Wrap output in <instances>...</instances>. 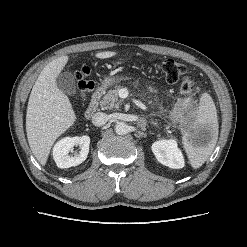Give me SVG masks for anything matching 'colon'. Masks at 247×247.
<instances>
[{
	"mask_svg": "<svg viewBox=\"0 0 247 247\" xmlns=\"http://www.w3.org/2000/svg\"><path fill=\"white\" fill-rule=\"evenodd\" d=\"M155 68L165 76L169 83H176L180 80V91L183 95L192 93L194 82L189 77H182L186 73V66L183 63L173 59H165L159 62ZM87 75V68L81 69L76 74L80 97H84L93 88V84L87 79Z\"/></svg>",
	"mask_w": 247,
	"mask_h": 247,
	"instance_id": "5ec220e1",
	"label": "colon"
}]
</instances>
